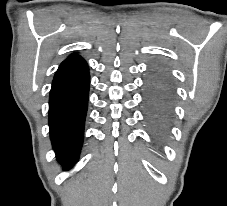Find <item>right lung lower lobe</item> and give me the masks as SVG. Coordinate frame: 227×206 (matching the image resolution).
I'll use <instances>...</instances> for the list:
<instances>
[{
  "label": "right lung lower lobe",
  "mask_w": 227,
  "mask_h": 206,
  "mask_svg": "<svg viewBox=\"0 0 227 206\" xmlns=\"http://www.w3.org/2000/svg\"><path fill=\"white\" fill-rule=\"evenodd\" d=\"M89 83L88 65L80 56L63 61L52 82L50 138L57 159L66 168L75 164L82 147Z\"/></svg>",
  "instance_id": "1"
}]
</instances>
